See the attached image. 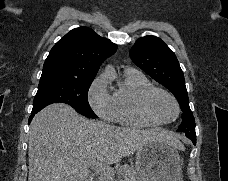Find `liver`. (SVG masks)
<instances>
[{
	"label": "liver",
	"instance_id": "obj_1",
	"mask_svg": "<svg viewBox=\"0 0 228 181\" xmlns=\"http://www.w3.org/2000/svg\"><path fill=\"white\" fill-rule=\"evenodd\" d=\"M29 129L28 181H82L89 165L119 163L153 139L185 149L174 133L87 121L64 103L45 107Z\"/></svg>",
	"mask_w": 228,
	"mask_h": 181
}]
</instances>
